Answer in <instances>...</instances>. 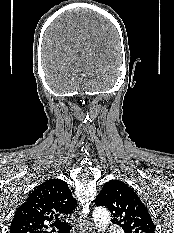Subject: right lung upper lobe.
Wrapping results in <instances>:
<instances>
[{
	"instance_id": "obj_1",
	"label": "right lung upper lobe",
	"mask_w": 174,
	"mask_h": 233,
	"mask_svg": "<svg viewBox=\"0 0 174 233\" xmlns=\"http://www.w3.org/2000/svg\"><path fill=\"white\" fill-rule=\"evenodd\" d=\"M76 204L65 181L49 179L35 188L17 209L10 233H48L45 224L73 212Z\"/></svg>"
}]
</instances>
